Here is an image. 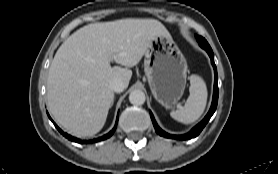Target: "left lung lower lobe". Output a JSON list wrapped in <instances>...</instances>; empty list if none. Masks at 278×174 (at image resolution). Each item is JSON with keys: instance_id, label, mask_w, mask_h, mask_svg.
<instances>
[{"instance_id": "left-lung-lower-lobe-1", "label": "left lung lower lobe", "mask_w": 278, "mask_h": 174, "mask_svg": "<svg viewBox=\"0 0 278 174\" xmlns=\"http://www.w3.org/2000/svg\"><path fill=\"white\" fill-rule=\"evenodd\" d=\"M208 53V55L211 58V63L213 65L214 68V92H213V100H212V104H211V108L208 112V114L205 116V118L199 123L197 124L190 132H188L187 134L184 135H171L168 134L166 132H164L156 123L153 114L150 112V116L154 125V128L157 132V134H159L160 136L166 137V138H172V139H180V140H186V139H191L194 138L196 136H198L200 134V132L203 130V128L205 127V125L207 124V122L210 120L211 116L214 114L216 108H217V103H218V75H217V69H216V65L214 63V54L211 48H206L205 49Z\"/></svg>"}]
</instances>
